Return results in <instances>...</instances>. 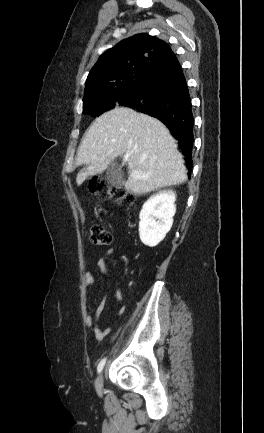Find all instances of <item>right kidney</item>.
<instances>
[{
    "instance_id": "obj_1",
    "label": "right kidney",
    "mask_w": 264,
    "mask_h": 433,
    "mask_svg": "<svg viewBox=\"0 0 264 433\" xmlns=\"http://www.w3.org/2000/svg\"><path fill=\"white\" fill-rule=\"evenodd\" d=\"M175 200L174 191L164 190L144 203L139 215V236L143 244L154 247L165 238L173 224Z\"/></svg>"
}]
</instances>
